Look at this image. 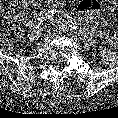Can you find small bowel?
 <instances>
[{"instance_id": "small-bowel-1", "label": "small bowel", "mask_w": 118, "mask_h": 118, "mask_svg": "<svg viewBox=\"0 0 118 118\" xmlns=\"http://www.w3.org/2000/svg\"><path fill=\"white\" fill-rule=\"evenodd\" d=\"M27 1H30V0H27ZM73 1H78V0H73ZM107 1V0H106ZM47 2H49L51 4V6H54V7H59V6H62L63 3H61L59 0H47ZM109 3L107 6H108V11L110 13L114 12L115 10H118V4L116 1L112 0V4L109 0ZM88 6H93L92 2L91 3H88ZM89 9V8H87ZM27 19V15L26 13H22L19 17H18V20L20 22H24L25 20ZM117 22H118V19H117Z\"/></svg>"}]
</instances>
